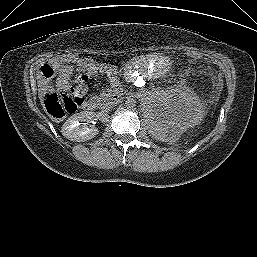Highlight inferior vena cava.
Instances as JSON below:
<instances>
[{
	"label": "inferior vena cava",
	"mask_w": 257,
	"mask_h": 257,
	"mask_svg": "<svg viewBox=\"0 0 257 257\" xmlns=\"http://www.w3.org/2000/svg\"><path fill=\"white\" fill-rule=\"evenodd\" d=\"M114 106H115V102H113V101H107V102L103 105L102 111L107 112V111L111 110Z\"/></svg>",
	"instance_id": "obj_1"
}]
</instances>
